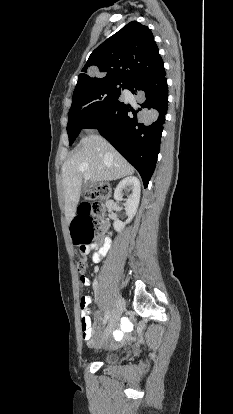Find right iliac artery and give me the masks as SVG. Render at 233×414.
<instances>
[{"label": "right iliac artery", "instance_id": "obj_1", "mask_svg": "<svg viewBox=\"0 0 233 414\" xmlns=\"http://www.w3.org/2000/svg\"><path fill=\"white\" fill-rule=\"evenodd\" d=\"M109 316H110V313H109V311H108V313H107V315H106V317H105V319H104L103 324H106L107 320L109 319Z\"/></svg>", "mask_w": 233, "mask_h": 414}]
</instances>
